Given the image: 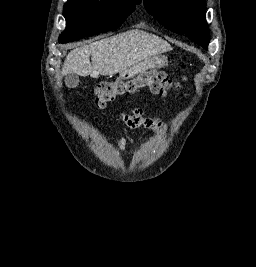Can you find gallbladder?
Segmentation results:
<instances>
[{"label": "gallbladder", "instance_id": "obj_1", "mask_svg": "<svg viewBox=\"0 0 256 267\" xmlns=\"http://www.w3.org/2000/svg\"><path fill=\"white\" fill-rule=\"evenodd\" d=\"M64 82L67 88H77V86H79V78L77 74H68Z\"/></svg>", "mask_w": 256, "mask_h": 267}]
</instances>
